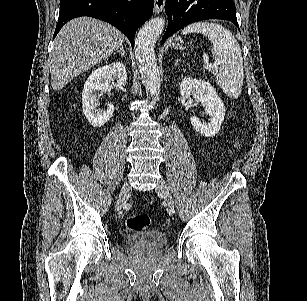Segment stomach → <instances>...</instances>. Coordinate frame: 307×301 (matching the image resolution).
Instances as JSON below:
<instances>
[{
    "mask_svg": "<svg viewBox=\"0 0 307 301\" xmlns=\"http://www.w3.org/2000/svg\"><path fill=\"white\" fill-rule=\"evenodd\" d=\"M183 42H184V40H182V38H180V36H177V38H175V40H173V42H171L172 48H180V46H183Z\"/></svg>",
    "mask_w": 307,
    "mask_h": 301,
    "instance_id": "obj_1",
    "label": "stomach"
}]
</instances>
